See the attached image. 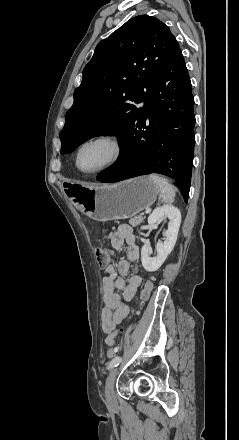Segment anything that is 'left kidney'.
Returning a JSON list of instances; mask_svg holds the SVG:
<instances>
[{"label": "left kidney", "mask_w": 239, "mask_h": 440, "mask_svg": "<svg viewBox=\"0 0 239 440\" xmlns=\"http://www.w3.org/2000/svg\"><path fill=\"white\" fill-rule=\"evenodd\" d=\"M163 218H168L170 222L168 224V230L162 232L163 236H165V240L164 242H159V244H157L155 256L151 258L149 244L142 246L141 262L146 272H156V270H159L160 266L164 264L168 254H171L176 244L177 234L181 224V214L178 208L170 206V204L161 206V208H155L148 218V224L149 226H155V224L160 222V220H163Z\"/></svg>", "instance_id": "1"}]
</instances>
